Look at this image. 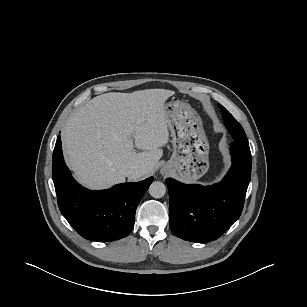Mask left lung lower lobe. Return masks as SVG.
<instances>
[{
	"mask_svg": "<svg viewBox=\"0 0 307 307\" xmlns=\"http://www.w3.org/2000/svg\"><path fill=\"white\" fill-rule=\"evenodd\" d=\"M232 166L224 179L212 186L183 184L166 179L169 190L170 228L187 241L207 242L219 238L241 215L251 178L250 147L231 144Z\"/></svg>",
	"mask_w": 307,
	"mask_h": 307,
	"instance_id": "obj_1",
	"label": "left lung lower lobe"
}]
</instances>
